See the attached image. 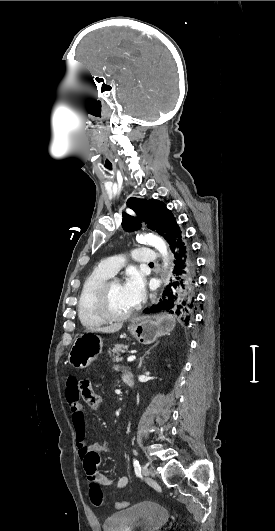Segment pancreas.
Masks as SVG:
<instances>
[{"label":"pancreas","instance_id":"obj_1","mask_svg":"<svg viewBox=\"0 0 275 531\" xmlns=\"http://www.w3.org/2000/svg\"><path fill=\"white\" fill-rule=\"evenodd\" d=\"M124 351H128V345H113L108 353L110 357H112V361L118 363V361H123V357H120V355L121 353H124Z\"/></svg>","mask_w":275,"mask_h":531}]
</instances>
